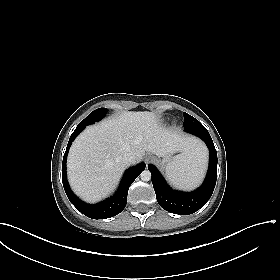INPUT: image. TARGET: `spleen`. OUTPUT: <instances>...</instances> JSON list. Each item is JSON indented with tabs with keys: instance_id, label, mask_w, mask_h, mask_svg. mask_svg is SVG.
<instances>
[{
	"instance_id": "1",
	"label": "spleen",
	"mask_w": 280,
	"mask_h": 280,
	"mask_svg": "<svg viewBox=\"0 0 280 280\" xmlns=\"http://www.w3.org/2000/svg\"><path fill=\"white\" fill-rule=\"evenodd\" d=\"M207 167L206 150L195 155H178L166 168L168 180L183 189H192L202 180Z\"/></svg>"
}]
</instances>
